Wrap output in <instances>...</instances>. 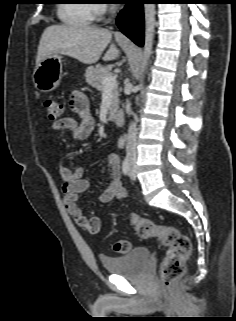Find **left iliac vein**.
<instances>
[{
  "label": "left iliac vein",
  "instance_id": "1",
  "mask_svg": "<svg viewBox=\"0 0 236 321\" xmlns=\"http://www.w3.org/2000/svg\"><path fill=\"white\" fill-rule=\"evenodd\" d=\"M129 176H130V178H131L132 180H135V178H136L135 167H134L133 164L131 165Z\"/></svg>",
  "mask_w": 236,
  "mask_h": 321
}]
</instances>
